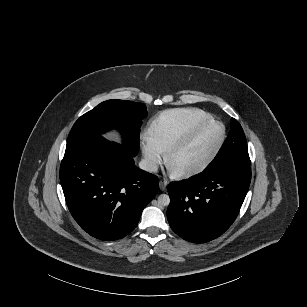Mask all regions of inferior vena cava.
I'll return each mask as SVG.
<instances>
[{"mask_svg":"<svg viewBox=\"0 0 307 307\" xmlns=\"http://www.w3.org/2000/svg\"><path fill=\"white\" fill-rule=\"evenodd\" d=\"M138 167L142 170L148 172H156L158 171L157 160L153 157L143 158L139 163Z\"/></svg>","mask_w":307,"mask_h":307,"instance_id":"602c4592","label":"inferior vena cava"}]
</instances>
